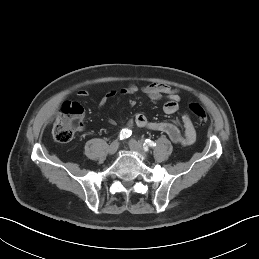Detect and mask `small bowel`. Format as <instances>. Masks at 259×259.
Returning a JSON list of instances; mask_svg holds the SVG:
<instances>
[{
    "instance_id": "obj_1",
    "label": "small bowel",
    "mask_w": 259,
    "mask_h": 259,
    "mask_svg": "<svg viewBox=\"0 0 259 259\" xmlns=\"http://www.w3.org/2000/svg\"><path fill=\"white\" fill-rule=\"evenodd\" d=\"M137 92L144 93L153 101H160L163 98H166V102L163 105V111L168 115H173L178 111L182 90L160 83H151L141 87L130 83L125 87L114 89L102 97L100 107L103 108L106 103L115 96L133 95ZM77 95L80 98H86L88 97L89 92L85 89H81L77 92ZM108 122L110 124H115L112 119H108ZM128 126L130 128L137 126L164 133L173 143L182 147L192 145L196 139V130L193 121L187 113H184L179 121L172 120L161 122L149 121L145 115L138 113L129 120ZM179 126L182 127L183 131L180 130Z\"/></svg>"
}]
</instances>
